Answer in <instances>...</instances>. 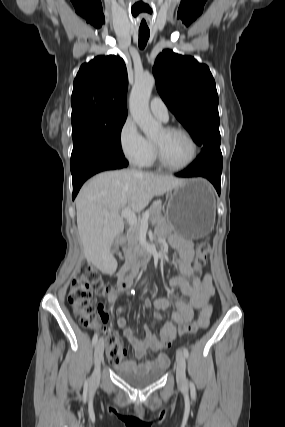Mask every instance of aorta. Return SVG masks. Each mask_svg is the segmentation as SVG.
<instances>
[{
  "instance_id": "1",
  "label": "aorta",
  "mask_w": 285,
  "mask_h": 427,
  "mask_svg": "<svg viewBox=\"0 0 285 427\" xmlns=\"http://www.w3.org/2000/svg\"><path fill=\"white\" fill-rule=\"evenodd\" d=\"M154 84L155 78L152 75L137 76L129 98L131 116L147 138L155 137L162 128L149 110V99Z\"/></svg>"
}]
</instances>
